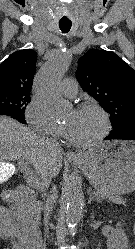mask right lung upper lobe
<instances>
[{
    "mask_svg": "<svg viewBox=\"0 0 135 249\" xmlns=\"http://www.w3.org/2000/svg\"><path fill=\"white\" fill-rule=\"evenodd\" d=\"M36 61L37 53L32 49L12 53L0 64V92L30 93Z\"/></svg>",
    "mask_w": 135,
    "mask_h": 249,
    "instance_id": "obj_1",
    "label": "right lung upper lobe"
}]
</instances>
